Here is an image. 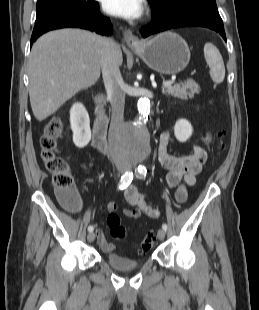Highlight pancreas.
Segmentation results:
<instances>
[{
	"label": "pancreas",
	"mask_w": 259,
	"mask_h": 310,
	"mask_svg": "<svg viewBox=\"0 0 259 310\" xmlns=\"http://www.w3.org/2000/svg\"><path fill=\"white\" fill-rule=\"evenodd\" d=\"M199 92L200 86L192 79H188L187 81L176 84L174 86L162 88L163 94L177 97L181 100L191 99L194 97L195 94H198Z\"/></svg>",
	"instance_id": "1"
}]
</instances>
